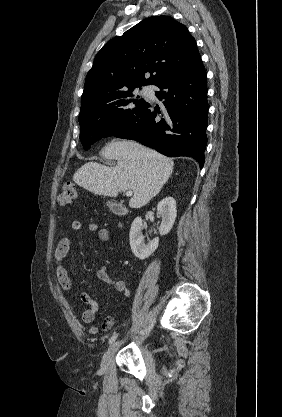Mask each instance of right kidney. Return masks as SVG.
<instances>
[{
    "label": "right kidney",
    "mask_w": 282,
    "mask_h": 417,
    "mask_svg": "<svg viewBox=\"0 0 282 417\" xmlns=\"http://www.w3.org/2000/svg\"><path fill=\"white\" fill-rule=\"evenodd\" d=\"M157 211L159 215H162L159 233L160 235H168L177 217L175 198H173V196H165V198H162L157 204ZM142 227L143 223L141 217H136L131 225L129 241L133 255H135L137 259L144 261V259H148V257L158 249L159 237H156V239L149 241V243L145 245L144 237L141 233Z\"/></svg>",
    "instance_id": "obj_1"
}]
</instances>
